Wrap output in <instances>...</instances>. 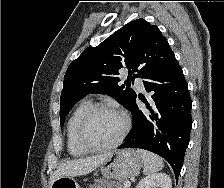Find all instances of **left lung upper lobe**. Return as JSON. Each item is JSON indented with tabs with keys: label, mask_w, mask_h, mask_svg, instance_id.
<instances>
[{
	"label": "left lung upper lobe",
	"mask_w": 224,
	"mask_h": 188,
	"mask_svg": "<svg viewBox=\"0 0 224 188\" xmlns=\"http://www.w3.org/2000/svg\"><path fill=\"white\" fill-rule=\"evenodd\" d=\"M173 56L158 27L142 18L129 22L98 46L86 48L69 65L64 77L61 126L74 104L90 93L108 94L130 109L137 96L130 88L134 78L148 77ZM121 68H128L129 74L123 85L118 77Z\"/></svg>",
	"instance_id": "left-lung-upper-lobe-1"
}]
</instances>
